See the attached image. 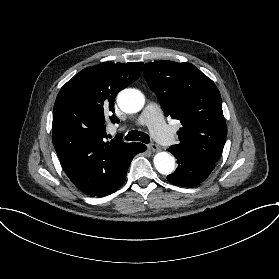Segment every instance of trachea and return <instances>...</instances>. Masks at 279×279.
I'll list each match as a JSON object with an SVG mask.
<instances>
[{"instance_id": "obj_1", "label": "trachea", "mask_w": 279, "mask_h": 279, "mask_svg": "<svg viewBox=\"0 0 279 279\" xmlns=\"http://www.w3.org/2000/svg\"><path fill=\"white\" fill-rule=\"evenodd\" d=\"M126 139L133 141H141L143 143H148L150 141V137L148 134L138 130L130 131L126 136Z\"/></svg>"}]
</instances>
